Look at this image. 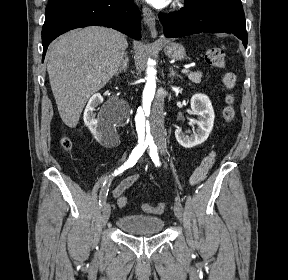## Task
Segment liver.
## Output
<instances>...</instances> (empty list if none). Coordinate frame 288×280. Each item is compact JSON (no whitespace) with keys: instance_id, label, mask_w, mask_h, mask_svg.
Returning <instances> with one entry per match:
<instances>
[{"instance_id":"1","label":"liver","mask_w":288,"mask_h":280,"mask_svg":"<svg viewBox=\"0 0 288 280\" xmlns=\"http://www.w3.org/2000/svg\"><path fill=\"white\" fill-rule=\"evenodd\" d=\"M127 45L122 33L91 26L71 31L50 46V85L60 117L68 127H76L88 99L116 73Z\"/></svg>"}]
</instances>
